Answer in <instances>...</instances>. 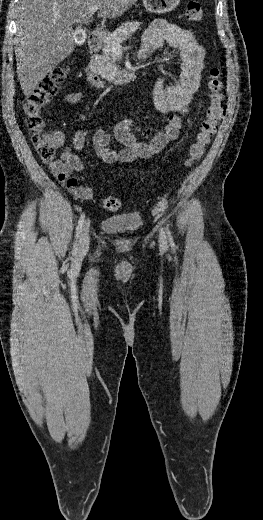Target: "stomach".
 Instances as JSON below:
<instances>
[{
  "label": "stomach",
  "instance_id": "obj_1",
  "mask_svg": "<svg viewBox=\"0 0 263 520\" xmlns=\"http://www.w3.org/2000/svg\"><path fill=\"white\" fill-rule=\"evenodd\" d=\"M180 0H143L145 9L150 13L162 14L174 10Z\"/></svg>",
  "mask_w": 263,
  "mask_h": 520
}]
</instances>
